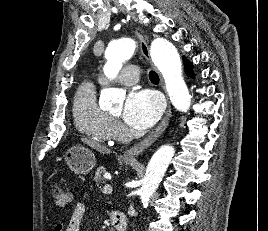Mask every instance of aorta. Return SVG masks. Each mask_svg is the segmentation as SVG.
Returning a JSON list of instances; mask_svg holds the SVG:
<instances>
[{"label":"aorta","mask_w":268,"mask_h":231,"mask_svg":"<svg viewBox=\"0 0 268 231\" xmlns=\"http://www.w3.org/2000/svg\"><path fill=\"white\" fill-rule=\"evenodd\" d=\"M135 51V43L131 39H122L109 44L105 51L107 59L104 73L114 79L123 63L129 60ZM151 59L159 69L166 84V90L172 105L180 112H187L191 105V96L182 76V63L175 46L164 38H156L150 47ZM125 93L116 88L101 91L100 106L107 107L114 102H122ZM175 150L170 145L160 147L151 157L142 186L139 189L140 199L148 201L158 188L162 178L174 156Z\"/></svg>","instance_id":"aorta-1"}]
</instances>
